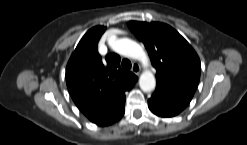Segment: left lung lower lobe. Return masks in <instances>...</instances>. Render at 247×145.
I'll list each match as a JSON object with an SVG mask.
<instances>
[{"label": "left lung lower lobe", "instance_id": "0a47b994", "mask_svg": "<svg viewBox=\"0 0 247 145\" xmlns=\"http://www.w3.org/2000/svg\"><path fill=\"white\" fill-rule=\"evenodd\" d=\"M192 98L175 92L161 85L156 86L152 97L148 100L149 109L159 117L178 115L190 103Z\"/></svg>", "mask_w": 247, "mask_h": 145}]
</instances>
